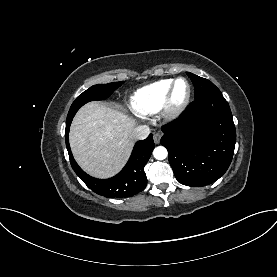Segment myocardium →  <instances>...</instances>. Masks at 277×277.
Wrapping results in <instances>:
<instances>
[{
    "mask_svg": "<svg viewBox=\"0 0 277 277\" xmlns=\"http://www.w3.org/2000/svg\"><path fill=\"white\" fill-rule=\"evenodd\" d=\"M179 82H184L187 86V92L184 98L180 101L175 100L176 87ZM192 89L189 81L183 77L177 78L172 83L162 107L163 116L166 119H174L178 117L188 106L191 99Z\"/></svg>",
    "mask_w": 277,
    "mask_h": 277,
    "instance_id": "f54148a6",
    "label": "myocardium"
}]
</instances>
